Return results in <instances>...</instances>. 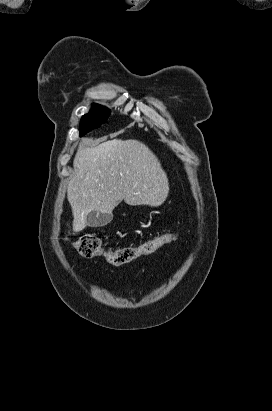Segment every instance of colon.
I'll use <instances>...</instances> for the list:
<instances>
[{"mask_svg": "<svg viewBox=\"0 0 272 411\" xmlns=\"http://www.w3.org/2000/svg\"><path fill=\"white\" fill-rule=\"evenodd\" d=\"M175 236L171 233L163 234L147 240L136 246H127L114 250L104 249L99 237L85 234L73 242L74 249L83 257L92 258L102 256L111 265L121 266L137 257L148 255L157 249L171 243Z\"/></svg>", "mask_w": 272, "mask_h": 411, "instance_id": "5ec220e1", "label": "colon"}]
</instances>
